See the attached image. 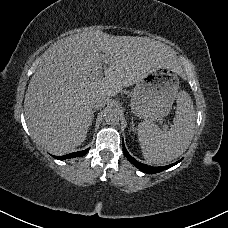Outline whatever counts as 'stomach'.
Instances as JSON below:
<instances>
[{"instance_id":"obj_1","label":"stomach","mask_w":228,"mask_h":228,"mask_svg":"<svg viewBox=\"0 0 228 228\" xmlns=\"http://www.w3.org/2000/svg\"><path fill=\"white\" fill-rule=\"evenodd\" d=\"M175 71L159 68L136 82L130 107L132 113L147 122H160L169 115L178 94Z\"/></svg>"}]
</instances>
